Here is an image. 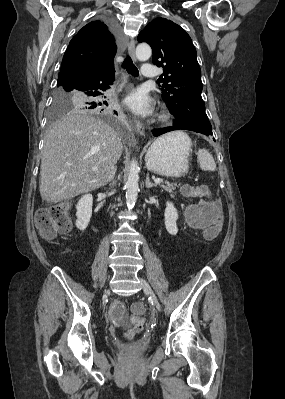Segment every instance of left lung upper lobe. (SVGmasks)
Wrapping results in <instances>:
<instances>
[{
  "label": "left lung upper lobe",
  "instance_id": "1",
  "mask_svg": "<svg viewBox=\"0 0 285 399\" xmlns=\"http://www.w3.org/2000/svg\"><path fill=\"white\" fill-rule=\"evenodd\" d=\"M153 50V63L163 68L162 98L181 129L213 135L201 97V69L190 36L165 18L152 20L138 35Z\"/></svg>",
  "mask_w": 285,
  "mask_h": 399
}]
</instances>
